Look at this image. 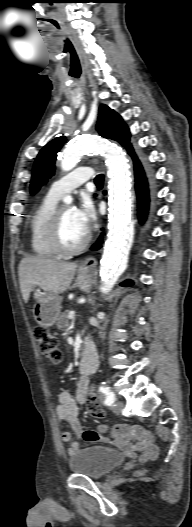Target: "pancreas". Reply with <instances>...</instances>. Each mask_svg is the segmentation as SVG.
I'll use <instances>...</instances> for the list:
<instances>
[{"label": "pancreas", "instance_id": "pancreas-1", "mask_svg": "<svg viewBox=\"0 0 192 527\" xmlns=\"http://www.w3.org/2000/svg\"><path fill=\"white\" fill-rule=\"evenodd\" d=\"M68 314H69V311H66L64 313H62L60 315V317L58 318V322H57V326L59 329H64L68 326Z\"/></svg>", "mask_w": 192, "mask_h": 527}]
</instances>
